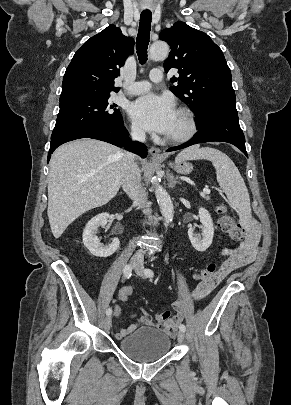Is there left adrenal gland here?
Masks as SVG:
<instances>
[{
    "mask_svg": "<svg viewBox=\"0 0 291 405\" xmlns=\"http://www.w3.org/2000/svg\"><path fill=\"white\" fill-rule=\"evenodd\" d=\"M167 178L169 181L168 183L169 188H174L176 184H180V182L174 178V175L170 173L169 170L167 171Z\"/></svg>",
    "mask_w": 291,
    "mask_h": 405,
    "instance_id": "obj_1",
    "label": "left adrenal gland"
}]
</instances>
